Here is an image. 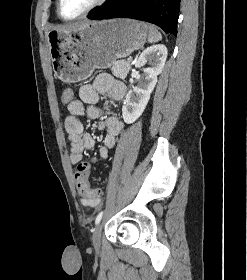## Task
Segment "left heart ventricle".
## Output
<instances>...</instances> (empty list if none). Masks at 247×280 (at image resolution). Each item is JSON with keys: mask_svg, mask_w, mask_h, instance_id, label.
Instances as JSON below:
<instances>
[{"mask_svg": "<svg viewBox=\"0 0 247 280\" xmlns=\"http://www.w3.org/2000/svg\"><path fill=\"white\" fill-rule=\"evenodd\" d=\"M95 0H62L61 2V13L66 18H72L79 15Z\"/></svg>", "mask_w": 247, "mask_h": 280, "instance_id": "1", "label": "left heart ventricle"}]
</instances>
